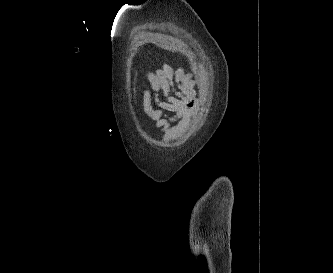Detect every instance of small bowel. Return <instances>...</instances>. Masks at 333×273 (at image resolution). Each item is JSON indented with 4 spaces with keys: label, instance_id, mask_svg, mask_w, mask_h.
Segmentation results:
<instances>
[{
    "label": "small bowel",
    "instance_id": "1",
    "mask_svg": "<svg viewBox=\"0 0 333 273\" xmlns=\"http://www.w3.org/2000/svg\"><path fill=\"white\" fill-rule=\"evenodd\" d=\"M145 75L151 90L143 87V112L161 130L163 136L170 137L180 127L171 128L167 112H175L183 125L188 111L195 105L192 79L183 69L175 70L167 63L160 64L154 71L146 70ZM175 92H180L182 96L173 97Z\"/></svg>",
    "mask_w": 333,
    "mask_h": 273
}]
</instances>
